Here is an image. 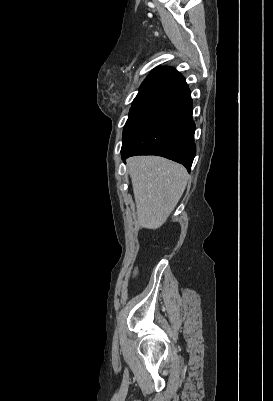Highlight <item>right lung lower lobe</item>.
I'll use <instances>...</instances> for the list:
<instances>
[{
    "label": "right lung lower lobe",
    "instance_id": "98d812e1",
    "mask_svg": "<svg viewBox=\"0 0 273 401\" xmlns=\"http://www.w3.org/2000/svg\"><path fill=\"white\" fill-rule=\"evenodd\" d=\"M192 108L188 88L171 97L122 145V159L158 155L181 163L190 171L196 153Z\"/></svg>",
    "mask_w": 273,
    "mask_h": 401
}]
</instances>
